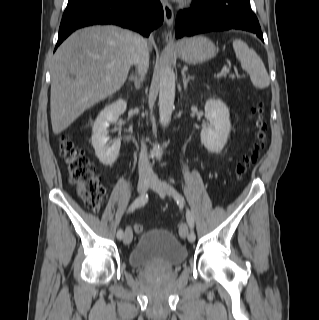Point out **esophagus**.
Segmentation results:
<instances>
[{"label": "esophagus", "mask_w": 319, "mask_h": 320, "mask_svg": "<svg viewBox=\"0 0 319 320\" xmlns=\"http://www.w3.org/2000/svg\"><path fill=\"white\" fill-rule=\"evenodd\" d=\"M162 6L164 11V19L169 28L168 33L166 34V41H173L171 28L174 21V11L172 6L167 0H162Z\"/></svg>", "instance_id": "obj_1"}]
</instances>
